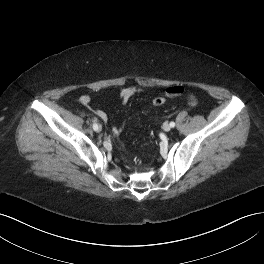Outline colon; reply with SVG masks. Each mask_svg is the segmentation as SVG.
<instances>
[{"instance_id":"5ec220e1","label":"colon","mask_w":264,"mask_h":264,"mask_svg":"<svg viewBox=\"0 0 264 264\" xmlns=\"http://www.w3.org/2000/svg\"><path fill=\"white\" fill-rule=\"evenodd\" d=\"M164 102H165V98L164 97H161V96L155 97L153 99V105L154 106H161V105L164 104ZM187 102H188V104L191 107H197L199 105V102H198L197 98L193 94H190L188 96Z\"/></svg>"}]
</instances>
